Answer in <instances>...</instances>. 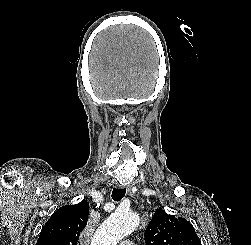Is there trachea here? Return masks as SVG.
<instances>
[{"label": "trachea", "instance_id": "3493384b", "mask_svg": "<svg viewBox=\"0 0 251 245\" xmlns=\"http://www.w3.org/2000/svg\"><path fill=\"white\" fill-rule=\"evenodd\" d=\"M125 193H126L125 188L123 189L114 188L112 191V199L114 201H120L125 196Z\"/></svg>", "mask_w": 251, "mask_h": 245}]
</instances>
